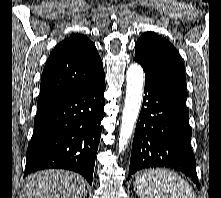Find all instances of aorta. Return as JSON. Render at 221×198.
Returning <instances> with one entry per match:
<instances>
[{
	"label": "aorta",
	"mask_w": 221,
	"mask_h": 198,
	"mask_svg": "<svg viewBox=\"0 0 221 198\" xmlns=\"http://www.w3.org/2000/svg\"><path fill=\"white\" fill-rule=\"evenodd\" d=\"M126 82V97L119 132V153L125 150L140 112L144 72L139 64L133 63L128 67Z\"/></svg>",
	"instance_id": "1"
}]
</instances>
